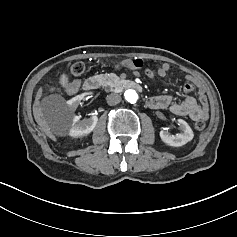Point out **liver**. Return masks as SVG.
I'll return each instance as SVG.
<instances>
[{
  "instance_id": "6515ba94",
  "label": "liver",
  "mask_w": 237,
  "mask_h": 237,
  "mask_svg": "<svg viewBox=\"0 0 237 237\" xmlns=\"http://www.w3.org/2000/svg\"><path fill=\"white\" fill-rule=\"evenodd\" d=\"M35 118L37 119V114H36V113H35ZM47 135H48L53 141H56V137H55L53 134L47 132Z\"/></svg>"
}]
</instances>
